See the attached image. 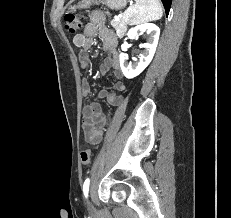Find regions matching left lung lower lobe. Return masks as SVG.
Masks as SVG:
<instances>
[{"label": "left lung lower lobe", "mask_w": 231, "mask_h": 218, "mask_svg": "<svg viewBox=\"0 0 231 218\" xmlns=\"http://www.w3.org/2000/svg\"><path fill=\"white\" fill-rule=\"evenodd\" d=\"M161 1H162L163 5H164L166 14L168 15L172 0H161Z\"/></svg>", "instance_id": "0a47b994"}]
</instances>
